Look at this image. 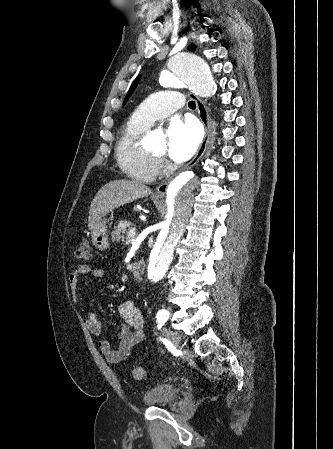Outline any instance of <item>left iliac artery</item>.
<instances>
[{
  "instance_id": "44dca946",
  "label": "left iliac artery",
  "mask_w": 333,
  "mask_h": 449,
  "mask_svg": "<svg viewBox=\"0 0 333 449\" xmlns=\"http://www.w3.org/2000/svg\"><path fill=\"white\" fill-rule=\"evenodd\" d=\"M168 317H169V312L166 311L165 309H162L157 313L156 318H157L158 329H160L164 325V323L167 321Z\"/></svg>"
}]
</instances>
